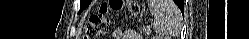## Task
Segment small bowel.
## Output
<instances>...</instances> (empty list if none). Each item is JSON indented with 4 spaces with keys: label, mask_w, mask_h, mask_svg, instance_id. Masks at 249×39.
I'll return each mask as SVG.
<instances>
[{
    "label": "small bowel",
    "mask_w": 249,
    "mask_h": 39,
    "mask_svg": "<svg viewBox=\"0 0 249 39\" xmlns=\"http://www.w3.org/2000/svg\"><path fill=\"white\" fill-rule=\"evenodd\" d=\"M128 35L132 38H135L136 37V34L134 32H129Z\"/></svg>",
    "instance_id": "c3829d8e"
}]
</instances>
